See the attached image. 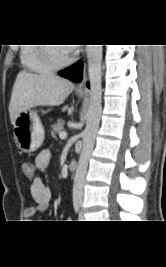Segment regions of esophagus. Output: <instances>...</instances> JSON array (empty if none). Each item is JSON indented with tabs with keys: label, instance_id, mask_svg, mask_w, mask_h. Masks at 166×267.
I'll return each mask as SVG.
<instances>
[{
	"label": "esophagus",
	"instance_id": "1",
	"mask_svg": "<svg viewBox=\"0 0 166 267\" xmlns=\"http://www.w3.org/2000/svg\"><path fill=\"white\" fill-rule=\"evenodd\" d=\"M86 76L84 75L82 78V81L77 85V90L79 91H85L86 90Z\"/></svg>",
	"mask_w": 166,
	"mask_h": 267
}]
</instances>
